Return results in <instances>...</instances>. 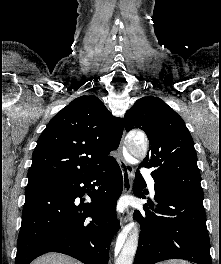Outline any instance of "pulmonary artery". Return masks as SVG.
Here are the masks:
<instances>
[{
  "mask_svg": "<svg viewBox=\"0 0 221 264\" xmlns=\"http://www.w3.org/2000/svg\"><path fill=\"white\" fill-rule=\"evenodd\" d=\"M143 175L146 177L148 184H149V189L151 193L154 195L155 194L154 179L151 177L150 173L147 170H143Z\"/></svg>",
  "mask_w": 221,
  "mask_h": 264,
  "instance_id": "e3ab8cb5",
  "label": "pulmonary artery"
}]
</instances>
